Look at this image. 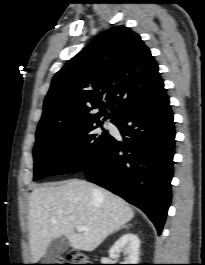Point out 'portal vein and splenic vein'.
I'll use <instances>...</instances> for the list:
<instances>
[{
  "instance_id": "1",
  "label": "portal vein and splenic vein",
  "mask_w": 205,
  "mask_h": 265,
  "mask_svg": "<svg viewBox=\"0 0 205 265\" xmlns=\"http://www.w3.org/2000/svg\"><path fill=\"white\" fill-rule=\"evenodd\" d=\"M76 229H77L78 232L88 231V229L86 227H84V226H77Z\"/></svg>"
}]
</instances>
